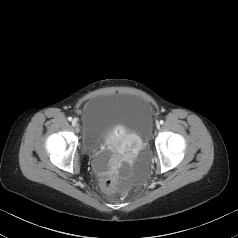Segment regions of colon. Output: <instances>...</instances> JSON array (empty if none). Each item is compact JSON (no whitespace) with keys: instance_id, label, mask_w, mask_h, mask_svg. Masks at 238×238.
Returning <instances> with one entry per match:
<instances>
[{"instance_id":"colon-1","label":"colon","mask_w":238,"mask_h":238,"mask_svg":"<svg viewBox=\"0 0 238 238\" xmlns=\"http://www.w3.org/2000/svg\"><path fill=\"white\" fill-rule=\"evenodd\" d=\"M101 187L107 191V192H112L116 189L117 182L114 177L108 176V177H103L99 180Z\"/></svg>"}]
</instances>
